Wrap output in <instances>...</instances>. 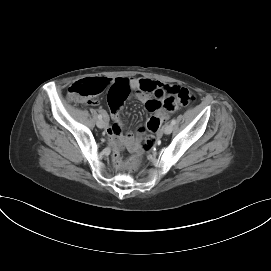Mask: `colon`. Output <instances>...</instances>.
Listing matches in <instances>:
<instances>
[{
	"mask_svg": "<svg viewBox=\"0 0 271 271\" xmlns=\"http://www.w3.org/2000/svg\"><path fill=\"white\" fill-rule=\"evenodd\" d=\"M109 86V82L105 78H89L73 83L68 90V97L74 101L93 103L96 96L102 93ZM142 88H146L145 85ZM157 97L163 101L166 108H172L176 105L190 106L195 101L194 94L187 88L179 86H171L157 93ZM160 120L152 117L147 128L150 132H154L160 125ZM155 144V139L152 135H147L141 141L138 152L132 155L126 162H122L119 154H114V162L119 166L128 168H136L140 163V150H149Z\"/></svg>",
	"mask_w": 271,
	"mask_h": 271,
	"instance_id": "1",
	"label": "colon"
}]
</instances>
